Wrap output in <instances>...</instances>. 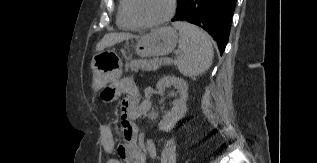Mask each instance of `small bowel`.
I'll return each mask as SVG.
<instances>
[{
	"label": "small bowel",
	"mask_w": 317,
	"mask_h": 163,
	"mask_svg": "<svg viewBox=\"0 0 317 163\" xmlns=\"http://www.w3.org/2000/svg\"><path fill=\"white\" fill-rule=\"evenodd\" d=\"M116 91L123 96L120 110L124 142L116 147L111 127L104 128L101 147L109 155L105 163H147L148 156L156 157V148L150 139L146 140L144 148L138 143L139 132L135 122L146 112V106L140 103L139 89L133 80L124 79ZM115 153L117 157L113 156Z\"/></svg>",
	"instance_id": "obj_1"
}]
</instances>
